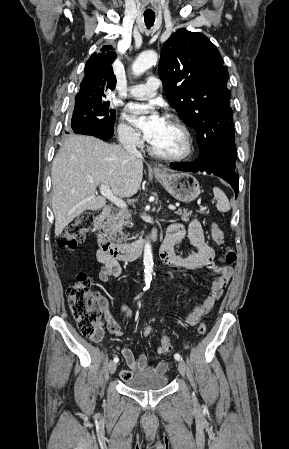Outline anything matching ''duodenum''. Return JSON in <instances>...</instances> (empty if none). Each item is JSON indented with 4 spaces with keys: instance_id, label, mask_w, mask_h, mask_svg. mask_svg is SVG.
<instances>
[{
    "instance_id": "1",
    "label": "duodenum",
    "mask_w": 289,
    "mask_h": 449,
    "mask_svg": "<svg viewBox=\"0 0 289 449\" xmlns=\"http://www.w3.org/2000/svg\"><path fill=\"white\" fill-rule=\"evenodd\" d=\"M112 210L106 206L94 218L92 231L96 238L98 248L105 254L120 261H130L141 255L148 242H154L157 231L153 229L147 238L139 239L127 244H115L109 241L103 233V223L110 216Z\"/></svg>"
}]
</instances>
